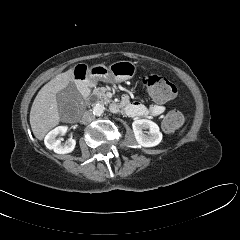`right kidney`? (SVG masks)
<instances>
[{"label": "right kidney", "mask_w": 240, "mask_h": 240, "mask_svg": "<svg viewBox=\"0 0 240 240\" xmlns=\"http://www.w3.org/2000/svg\"><path fill=\"white\" fill-rule=\"evenodd\" d=\"M67 130V126H58L51 130L44 139L45 146L57 154H67L72 152L76 145L75 139L71 138L66 143H62L61 140L57 138L59 134H65Z\"/></svg>", "instance_id": "1"}]
</instances>
